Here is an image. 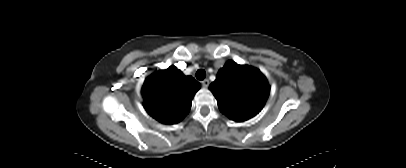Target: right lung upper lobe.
Listing matches in <instances>:
<instances>
[{
	"label": "right lung upper lobe",
	"mask_w": 406,
	"mask_h": 168,
	"mask_svg": "<svg viewBox=\"0 0 406 168\" xmlns=\"http://www.w3.org/2000/svg\"><path fill=\"white\" fill-rule=\"evenodd\" d=\"M199 89V82L172 65L145 80L142 87L144 108L161 123H178L188 114Z\"/></svg>",
	"instance_id": "cb5924a9"
}]
</instances>
